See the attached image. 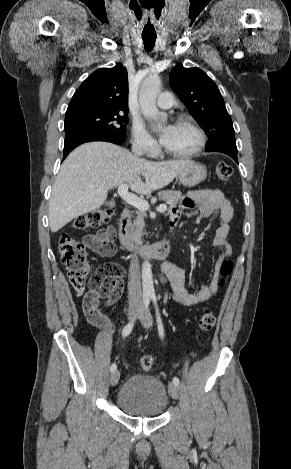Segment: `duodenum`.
<instances>
[{"label":"duodenum","instance_id":"duodenum-1","mask_svg":"<svg viewBox=\"0 0 291 469\" xmlns=\"http://www.w3.org/2000/svg\"><path fill=\"white\" fill-rule=\"evenodd\" d=\"M130 210L125 208L119 220V239L121 244L130 251L139 252L147 258L164 259L166 258L171 249L170 239H164L159 242L146 245L137 242L131 232L130 226Z\"/></svg>","mask_w":291,"mask_h":469}]
</instances>
